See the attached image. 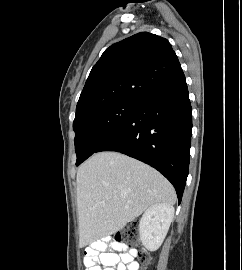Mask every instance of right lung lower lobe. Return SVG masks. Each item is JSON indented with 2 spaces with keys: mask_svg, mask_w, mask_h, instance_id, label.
I'll use <instances>...</instances> for the list:
<instances>
[{
  "mask_svg": "<svg viewBox=\"0 0 242 270\" xmlns=\"http://www.w3.org/2000/svg\"><path fill=\"white\" fill-rule=\"evenodd\" d=\"M191 131L192 108L180 71L137 100L119 129L95 152H120L154 167L172 183L180 204L189 170Z\"/></svg>",
  "mask_w": 242,
  "mask_h": 270,
  "instance_id": "right-lung-lower-lobe-1",
  "label": "right lung lower lobe"
}]
</instances>
